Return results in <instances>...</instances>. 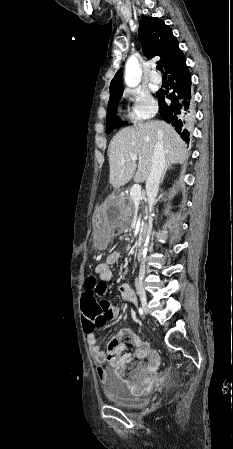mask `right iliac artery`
Listing matches in <instances>:
<instances>
[{"label":"right iliac artery","instance_id":"1","mask_svg":"<svg viewBox=\"0 0 233 449\" xmlns=\"http://www.w3.org/2000/svg\"><path fill=\"white\" fill-rule=\"evenodd\" d=\"M138 311H139L140 315H143V310H142V308H138Z\"/></svg>","mask_w":233,"mask_h":449}]
</instances>
